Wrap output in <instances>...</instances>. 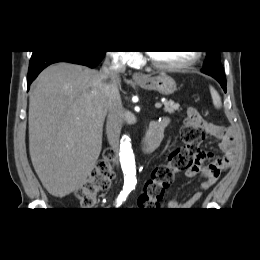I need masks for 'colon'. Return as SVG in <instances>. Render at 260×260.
Masks as SVG:
<instances>
[{"label": "colon", "instance_id": "1", "mask_svg": "<svg viewBox=\"0 0 260 260\" xmlns=\"http://www.w3.org/2000/svg\"><path fill=\"white\" fill-rule=\"evenodd\" d=\"M196 114V109L188 110L181 131L183 146L170 154L167 163L156 166L150 179L145 183L142 195L148 198L153 205H157L161 201L164 192L173 184L175 176L187 171L193 165L196 155L200 152V144L205 138V133L196 123ZM113 158V151L106 150L103 159L96 164L89 178L76 193V197L82 205H91L96 193L109 188L114 176Z\"/></svg>", "mask_w": 260, "mask_h": 260}]
</instances>
